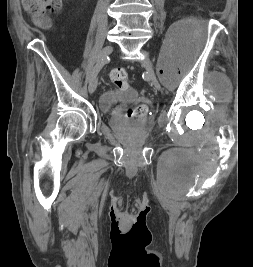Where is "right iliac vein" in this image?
I'll use <instances>...</instances> for the list:
<instances>
[{"label": "right iliac vein", "instance_id": "63e3f726", "mask_svg": "<svg viewBox=\"0 0 253 267\" xmlns=\"http://www.w3.org/2000/svg\"><path fill=\"white\" fill-rule=\"evenodd\" d=\"M113 51V47L107 45L106 47H104L99 55V60H104L108 57V55H110ZM97 83H98V79H97V73H95V75L91 78L90 83H89V92L93 93L96 88H97Z\"/></svg>", "mask_w": 253, "mask_h": 267}]
</instances>
